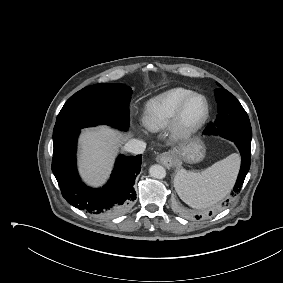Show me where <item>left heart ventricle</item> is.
I'll return each instance as SVG.
<instances>
[{
    "label": "left heart ventricle",
    "mask_w": 283,
    "mask_h": 283,
    "mask_svg": "<svg viewBox=\"0 0 283 283\" xmlns=\"http://www.w3.org/2000/svg\"><path fill=\"white\" fill-rule=\"evenodd\" d=\"M203 111V102L200 98H193L189 101L185 108L184 119L186 122L191 123L196 121Z\"/></svg>",
    "instance_id": "left-heart-ventricle-1"
}]
</instances>
